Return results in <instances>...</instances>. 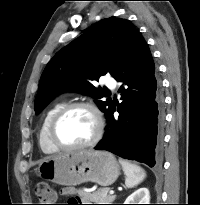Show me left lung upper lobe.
<instances>
[{
    "label": "left lung upper lobe",
    "instance_id": "obj_1",
    "mask_svg": "<svg viewBox=\"0 0 200 205\" xmlns=\"http://www.w3.org/2000/svg\"><path fill=\"white\" fill-rule=\"evenodd\" d=\"M135 26L126 19L106 18L61 49L47 64L41 79L34 109L41 112L59 93L65 90L91 95L107 116L112 104L90 81L110 73L114 76L118 64L130 48Z\"/></svg>",
    "mask_w": 200,
    "mask_h": 205
}]
</instances>
